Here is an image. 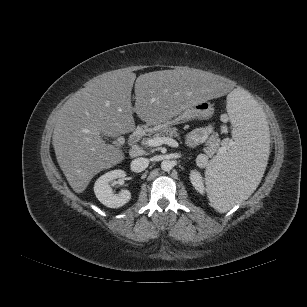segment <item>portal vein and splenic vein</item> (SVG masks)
<instances>
[{"label":"portal vein and splenic vein","mask_w":307,"mask_h":307,"mask_svg":"<svg viewBox=\"0 0 307 307\" xmlns=\"http://www.w3.org/2000/svg\"><path fill=\"white\" fill-rule=\"evenodd\" d=\"M149 146L157 147L166 144L171 147H178V142L169 137H155L148 141Z\"/></svg>","instance_id":"portal-vein-and-splenic-vein-1"}]
</instances>
